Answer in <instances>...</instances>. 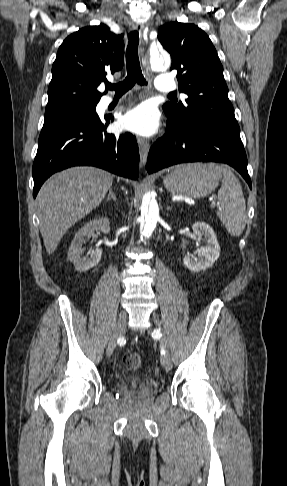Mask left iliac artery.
<instances>
[{"label":"left iliac artery","instance_id":"obj_1","mask_svg":"<svg viewBox=\"0 0 287 486\" xmlns=\"http://www.w3.org/2000/svg\"><path fill=\"white\" fill-rule=\"evenodd\" d=\"M162 354H164V350L162 349Z\"/></svg>","mask_w":287,"mask_h":486}]
</instances>
